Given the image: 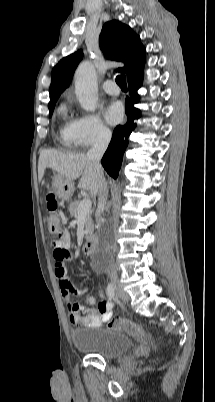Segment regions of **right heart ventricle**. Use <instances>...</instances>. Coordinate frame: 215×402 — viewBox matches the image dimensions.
<instances>
[{
    "mask_svg": "<svg viewBox=\"0 0 215 402\" xmlns=\"http://www.w3.org/2000/svg\"><path fill=\"white\" fill-rule=\"evenodd\" d=\"M58 113L62 118V123L59 127L60 141L63 145L70 147L74 144L71 133L72 121L68 120L67 110L64 105L59 107Z\"/></svg>",
    "mask_w": 215,
    "mask_h": 402,
    "instance_id": "obj_1",
    "label": "right heart ventricle"
}]
</instances>
